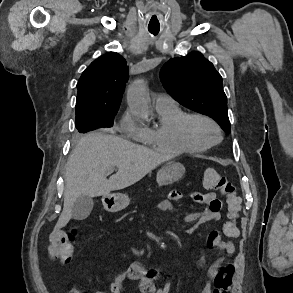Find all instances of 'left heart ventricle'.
<instances>
[{
	"label": "left heart ventricle",
	"instance_id": "b2bd125f",
	"mask_svg": "<svg viewBox=\"0 0 293 293\" xmlns=\"http://www.w3.org/2000/svg\"><path fill=\"white\" fill-rule=\"evenodd\" d=\"M190 132L192 138L201 144L209 143L217 138V133L212 125L203 120H194L191 123Z\"/></svg>",
	"mask_w": 293,
	"mask_h": 293
}]
</instances>
